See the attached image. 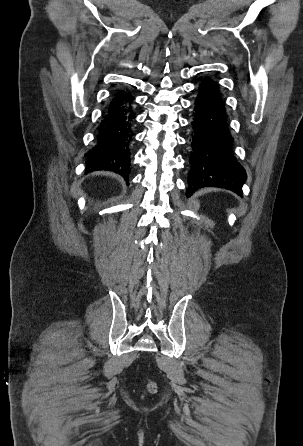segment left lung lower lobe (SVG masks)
Returning a JSON list of instances; mask_svg holds the SVG:
<instances>
[{"mask_svg":"<svg viewBox=\"0 0 303 446\" xmlns=\"http://www.w3.org/2000/svg\"><path fill=\"white\" fill-rule=\"evenodd\" d=\"M191 124L193 152L187 196L201 187L225 188L242 196L246 173L233 156L222 97L208 78L199 86Z\"/></svg>","mask_w":303,"mask_h":446,"instance_id":"left-lung-lower-lobe-1","label":"left lung lower lobe"}]
</instances>
